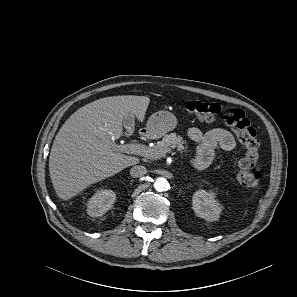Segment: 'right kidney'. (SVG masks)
Returning <instances> with one entry per match:
<instances>
[{
	"label": "right kidney",
	"mask_w": 297,
	"mask_h": 297,
	"mask_svg": "<svg viewBox=\"0 0 297 297\" xmlns=\"http://www.w3.org/2000/svg\"><path fill=\"white\" fill-rule=\"evenodd\" d=\"M116 195L112 190L97 191L89 200L87 213L91 217L104 215L114 204Z\"/></svg>",
	"instance_id": "obj_1"
}]
</instances>
